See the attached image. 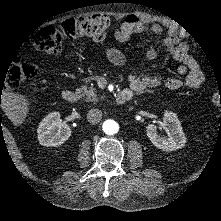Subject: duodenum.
Masks as SVG:
<instances>
[{"label": "duodenum", "mask_w": 221, "mask_h": 221, "mask_svg": "<svg viewBox=\"0 0 221 221\" xmlns=\"http://www.w3.org/2000/svg\"><path fill=\"white\" fill-rule=\"evenodd\" d=\"M132 96L133 92L125 89L117 94L115 100L117 104H123L130 100ZM62 98L68 103H74L78 100L79 94L73 90L67 89L62 92Z\"/></svg>", "instance_id": "410a0bca"}]
</instances>
